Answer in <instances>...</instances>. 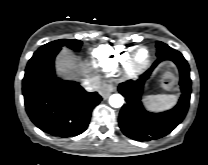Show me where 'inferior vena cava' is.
<instances>
[{"label":"inferior vena cava","mask_w":208,"mask_h":165,"mask_svg":"<svg viewBox=\"0 0 208 165\" xmlns=\"http://www.w3.org/2000/svg\"><path fill=\"white\" fill-rule=\"evenodd\" d=\"M100 83L99 77H92L90 79H86L83 82V86L87 91H93L99 88Z\"/></svg>","instance_id":"602c4592"}]
</instances>
